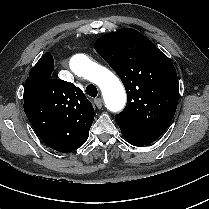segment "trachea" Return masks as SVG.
I'll use <instances>...</instances> for the list:
<instances>
[{
  "label": "trachea",
  "instance_id": "3493384b",
  "mask_svg": "<svg viewBox=\"0 0 209 209\" xmlns=\"http://www.w3.org/2000/svg\"><path fill=\"white\" fill-rule=\"evenodd\" d=\"M85 92H86V94H88L91 97H96L98 94V90H97L96 86L92 85V84H90L86 87Z\"/></svg>",
  "mask_w": 209,
  "mask_h": 209
}]
</instances>
